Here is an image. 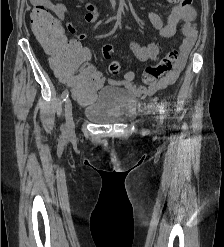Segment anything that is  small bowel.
I'll list each match as a JSON object with an SVG mask.
<instances>
[{
    "label": "small bowel",
    "instance_id": "c3829d8e",
    "mask_svg": "<svg viewBox=\"0 0 224 247\" xmlns=\"http://www.w3.org/2000/svg\"><path fill=\"white\" fill-rule=\"evenodd\" d=\"M166 1L173 5L166 22H164L157 13L152 11L148 13L149 21L153 27L159 31L160 36L163 38L172 37L176 33L178 24L183 22L182 31L185 39L181 45L180 55L178 56L173 69L148 87L140 86L135 83V73L133 71H127L124 74L123 80L120 84L123 85L131 94L138 97L154 94L155 92L173 84L177 80L197 37V30L194 24L196 12L191 5L192 0ZM31 3L36 7L43 6L51 8L61 21H64L68 14V10L63 3H51L49 0H31ZM99 16V11L88 8V12L85 15V21L88 24L95 23ZM66 27L74 36V39L72 40L80 43V41L86 37L84 32H80L70 22H66ZM130 48L135 56L141 61H156L160 56V49L158 45L153 42L141 43L134 39L130 41Z\"/></svg>",
    "mask_w": 224,
    "mask_h": 247
}]
</instances>
